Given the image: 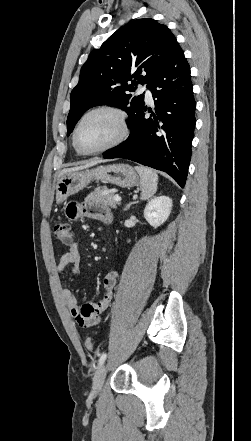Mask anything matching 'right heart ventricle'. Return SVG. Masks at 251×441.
<instances>
[{
	"label": "right heart ventricle",
	"mask_w": 251,
	"mask_h": 441,
	"mask_svg": "<svg viewBox=\"0 0 251 441\" xmlns=\"http://www.w3.org/2000/svg\"><path fill=\"white\" fill-rule=\"evenodd\" d=\"M74 148H75V146H74ZM75 152H76L77 155H80V153L76 150V148H75Z\"/></svg>",
	"instance_id": "1"
}]
</instances>
